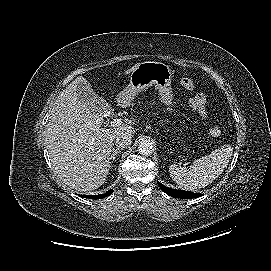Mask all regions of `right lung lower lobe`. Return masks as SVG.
Returning a JSON list of instances; mask_svg holds the SVG:
<instances>
[{"label":"right lung lower lobe","mask_w":271,"mask_h":271,"mask_svg":"<svg viewBox=\"0 0 271 271\" xmlns=\"http://www.w3.org/2000/svg\"><path fill=\"white\" fill-rule=\"evenodd\" d=\"M112 193H113V190H109L106 193L100 194V195H79V196L84 197V198H89V199H102L109 196Z\"/></svg>","instance_id":"obj_1"}]
</instances>
